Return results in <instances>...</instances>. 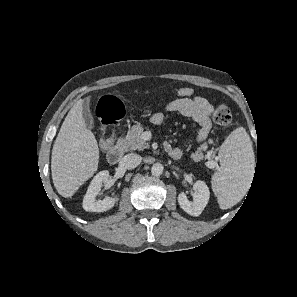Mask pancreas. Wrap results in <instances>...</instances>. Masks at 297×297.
Returning a JSON list of instances; mask_svg holds the SVG:
<instances>
[{"label": "pancreas", "mask_w": 297, "mask_h": 297, "mask_svg": "<svg viewBox=\"0 0 297 297\" xmlns=\"http://www.w3.org/2000/svg\"><path fill=\"white\" fill-rule=\"evenodd\" d=\"M144 128L140 125H135L128 132L125 138L119 140V145L124 150H144L149 148V144L142 138ZM200 151L195 154V159L200 158Z\"/></svg>", "instance_id": "1"}]
</instances>
